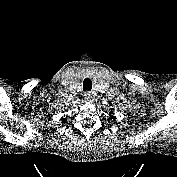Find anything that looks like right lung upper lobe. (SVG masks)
<instances>
[{
    "label": "right lung upper lobe",
    "mask_w": 177,
    "mask_h": 177,
    "mask_svg": "<svg viewBox=\"0 0 177 177\" xmlns=\"http://www.w3.org/2000/svg\"><path fill=\"white\" fill-rule=\"evenodd\" d=\"M66 120H67L66 118H62L63 123H66Z\"/></svg>",
    "instance_id": "1"
}]
</instances>
